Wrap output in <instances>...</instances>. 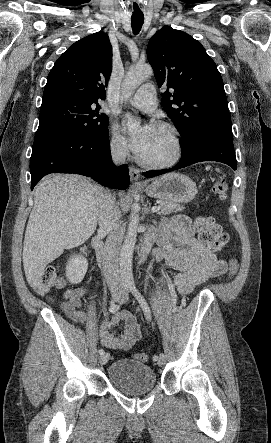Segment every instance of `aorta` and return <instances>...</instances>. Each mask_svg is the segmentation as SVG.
Listing matches in <instances>:
<instances>
[{"label": "aorta", "instance_id": "obj_1", "mask_svg": "<svg viewBox=\"0 0 271 443\" xmlns=\"http://www.w3.org/2000/svg\"><path fill=\"white\" fill-rule=\"evenodd\" d=\"M151 76H153V70L151 66H148V64H145V66H134V68H130L122 84L123 100H128V98L134 94L136 88L141 86V84H143L145 80H148V78H151ZM127 126L129 132H134V130H138V128H140V122H137V120H131V118H129ZM131 210L132 212L129 216L130 222L128 223L126 237L120 251L119 271L122 281L134 283L132 273V257L138 231L139 206H137V204H133V206H131Z\"/></svg>", "mask_w": 271, "mask_h": 443}]
</instances>
